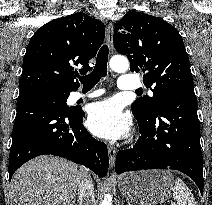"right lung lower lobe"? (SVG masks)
<instances>
[{"instance_id": "right-lung-lower-lobe-1", "label": "right lung lower lobe", "mask_w": 212, "mask_h": 205, "mask_svg": "<svg viewBox=\"0 0 212 205\" xmlns=\"http://www.w3.org/2000/svg\"><path fill=\"white\" fill-rule=\"evenodd\" d=\"M65 92L46 88L19 96L9 155V181L13 173L30 159L51 154L87 166L105 177L108 150L82 124V110H65L56 97ZM69 96V94L67 95Z\"/></svg>"}]
</instances>
